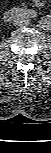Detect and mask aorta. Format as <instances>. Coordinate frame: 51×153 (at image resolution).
I'll return each mask as SVG.
<instances>
[{
  "label": "aorta",
  "mask_w": 51,
  "mask_h": 153,
  "mask_svg": "<svg viewBox=\"0 0 51 153\" xmlns=\"http://www.w3.org/2000/svg\"><path fill=\"white\" fill-rule=\"evenodd\" d=\"M39 26H40L43 30H48V29H50V26H51V19H50V16H49V15L42 16V17L40 18V21H39Z\"/></svg>",
  "instance_id": "1"
}]
</instances>
